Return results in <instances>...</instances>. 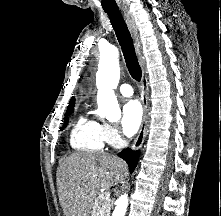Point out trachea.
Listing matches in <instances>:
<instances>
[{"instance_id": "trachea-1", "label": "trachea", "mask_w": 221, "mask_h": 216, "mask_svg": "<svg viewBox=\"0 0 221 216\" xmlns=\"http://www.w3.org/2000/svg\"><path fill=\"white\" fill-rule=\"evenodd\" d=\"M111 21L121 46L128 71L133 79L140 81L142 76L141 67L135 53L133 40L128 27L118 10L105 11Z\"/></svg>"}]
</instances>
